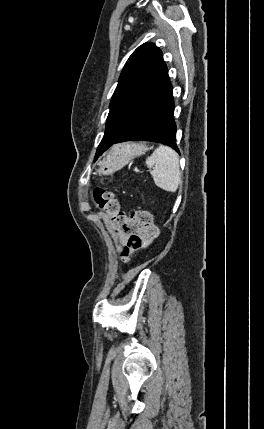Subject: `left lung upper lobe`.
Instances as JSON below:
<instances>
[{
	"label": "left lung upper lobe",
	"instance_id": "obj_1",
	"mask_svg": "<svg viewBox=\"0 0 264 429\" xmlns=\"http://www.w3.org/2000/svg\"><path fill=\"white\" fill-rule=\"evenodd\" d=\"M166 71L162 52L154 44L144 43L132 53L112 96L106 130L98 149L118 139L139 103L157 86Z\"/></svg>",
	"mask_w": 264,
	"mask_h": 429
}]
</instances>
